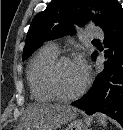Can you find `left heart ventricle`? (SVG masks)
Returning a JSON list of instances; mask_svg holds the SVG:
<instances>
[{
    "mask_svg": "<svg viewBox=\"0 0 123 130\" xmlns=\"http://www.w3.org/2000/svg\"><path fill=\"white\" fill-rule=\"evenodd\" d=\"M57 79L61 90L66 94H70L83 85L85 74L76 67L74 61H65L59 66Z\"/></svg>",
    "mask_w": 123,
    "mask_h": 130,
    "instance_id": "b2bd125f",
    "label": "left heart ventricle"
}]
</instances>
